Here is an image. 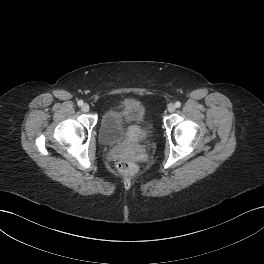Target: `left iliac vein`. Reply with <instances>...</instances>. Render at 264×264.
<instances>
[{
	"mask_svg": "<svg viewBox=\"0 0 264 264\" xmlns=\"http://www.w3.org/2000/svg\"><path fill=\"white\" fill-rule=\"evenodd\" d=\"M167 109H168V111H169L170 113H173V112L176 110V107H175L174 104L170 103V104L168 105Z\"/></svg>",
	"mask_w": 264,
	"mask_h": 264,
	"instance_id": "left-iliac-vein-1",
	"label": "left iliac vein"
}]
</instances>
